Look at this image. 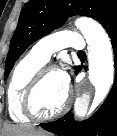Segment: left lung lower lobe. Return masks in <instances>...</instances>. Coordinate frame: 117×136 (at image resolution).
Returning a JSON list of instances; mask_svg holds the SVG:
<instances>
[{"instance_id": "1", "label": "left lung lower lobe", "mask_w": 117, "mask_h": 136, "mask_svg": "<svg viewBox=\"0 0 117 136\" xmlns=\"http://www.w3.org/2000/svg\"><path fill=\"white\" fill-rule=\"evenodd\" d=\"M105 29L111 38L115 61V80L108 97L86 121L75 122L72 112H68L57 121L40 124L43 129L58 136H117V15ZM80 70L78 67L75 73Z\"/></svg>"}]
</instances>
